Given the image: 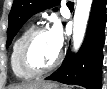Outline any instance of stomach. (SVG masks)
I'll return each mask as SVG.
<instances>
[{
  "label": "stomach",
  "instance_id": "stomach-1",
  "mask_svg": "<svg viewBox=\"0 0 107 89\" xmlns=\"http://www.w3.org/2000/svg\"><path fill=\"white\" fill-rule=\"evenodd\" d=\"M40 89H62V88H60L58 85H56V84H53V83H48V84H46V85H42L41 87H40Z\"/></svg>",
  "mask_w": 107,
  "mask_h": 89
}]
</instances>
